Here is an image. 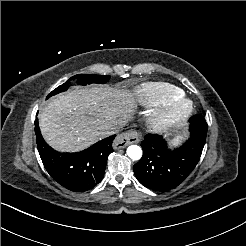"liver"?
Here are the masks:
<instances>
[{"mask_svg":"<svg viewBox=\"0 0 246 246\" xmlns=\"http://www.w3.org/2000/svg\"><path fill=\"white\" fill-rule=\"evenodd\" d=\"M133 101L121 90L107 86L76 87L55 97L39 114L46 142L60 152L83 150L109 136L131 118Z\"/></svg>","mask_w":246,"mask_h":246,"instance_id":"obj_1","label":"liver"}]
</instances>
